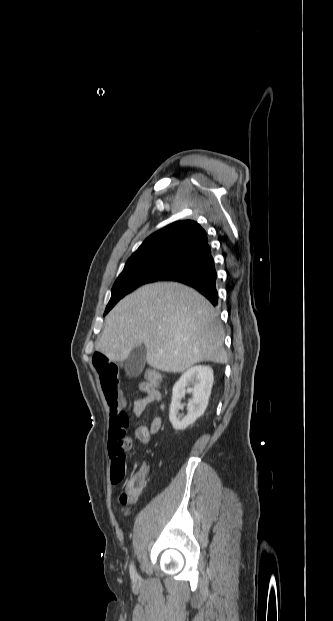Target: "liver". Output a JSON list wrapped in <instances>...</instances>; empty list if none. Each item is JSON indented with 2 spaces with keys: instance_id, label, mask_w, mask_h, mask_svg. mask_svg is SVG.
Listing matches in <instances>:
<instances>
[{
  "instance_id": "obj_1",
  "label": "liver",
  "mask_w": 333,
  "mask_h": 621,
  "mask_svg": "<svg viewBox=\"0 0 333 621\" xmlns=\"http://www.w3.org/2000/svg\"><path fill=\"white\" fill-rule=\"evenodd\" d=\"M142 344L147 363L165 372L228 360L214 307L192 288L175 282L145 285L122 299L107 315L96 350L109 360L124 361Z\"/></svg>"
}]
</instances>
